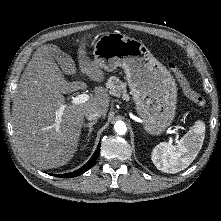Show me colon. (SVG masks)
Segmentation results:
<instances>
[{
  "label": "colon",
  "mask_w": 221,
  "mask_h": 221,
  "mask_svg": "<svg viewBox=\"0 0 221 221\" xmlns=\"http://www.w3.org/2000/svg\"><path fill=\"white\" fill-rule=\"evenodd\" d=\"M169 69L174 74L176 80L178 81L179 85L181 86L184 94L195 104H197L200 107H204L206 104V101L202 95L195 92L188 83L187 79L182 74L181 70L178 68L176 64L173 62H169L168 64Z\"/></svg>",
  "instance_id": "5ec220e1"
}]
</instances>
